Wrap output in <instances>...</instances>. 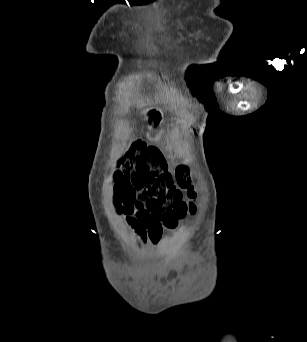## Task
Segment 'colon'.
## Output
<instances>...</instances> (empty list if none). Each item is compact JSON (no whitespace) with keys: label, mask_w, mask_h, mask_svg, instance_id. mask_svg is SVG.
<instances>
[{"label":"colon","mask_w":307,"mask_h":342,"mask_svg":"<svg viewBox=\"0 0 307 342\" xmlns=\"http://www.w3.org/2000/svg\"><path fill=\"white\" fill-rule=\"evenodd\" d=\"M125 178L114 186L116 203L127 207H146L158 216L166 227H174L187 213L193 211L192 201L197 192L187 164L169 171L162 152L146 143H136L124 156ZM189 161L188 157L184 158ZM182 191L188 201L184 200Z\"/></svg>","instance_id":"colon-1"}]
</instances>
